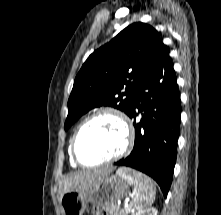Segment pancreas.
Masks as SVG:
<instances>
[{
	"label": "pancreas",
	"mask_w": 221,
	"mask_h": 215,
	"mask_svg": "<svg viewBox=\"0 0 221 215\" xmlns=\"http://www.w3.org/2000/svg\"><path fill=\"white\" fill-rule=\"evenodd\" d=\"M105 210L108 211L110 215H128L131 212L130 207L125 209H120L117 206H113L110 208H105Z\"/></svg>",
	"instance_id": "obj_1"
}]
</instances>
